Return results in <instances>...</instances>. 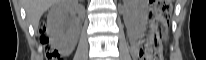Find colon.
<instances>
[{"mask_svg":"<svg viewBox=\"0 0 206 60\" xmlns=\"http://www.w3.org/2000/svg\"><path fill=\"white\" fill-rule=\"evenodd\" d=\"M171 8V0H156L153 4L154 19L150 23V36L144 46L135 54L136 60H163L162 40L168 32V16ZM41 43L44 45V52L47 59H58V52L49 45L44 24L38 29Z\"/></svg>","mask_w":206,"mask_h":60,"instance_id":"1","label":"colon"}]
</instances>
